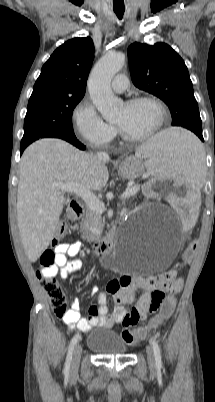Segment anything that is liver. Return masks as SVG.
Returning <instances> with one entry per match:
<instances>
[{"label": "liver", "instance_id": "6515ba94", "mask_svg": "<svg viewBox=\"0 0 215 402\" xmlns=\"http://www.w3.org/2000/svg\"><path fill=\"white\" fill-rule=\"evenodd\" d=\"M108 161L60 139H40L27 147L19 164L17 221L31 262L48 248L63 210L64 197L55 184L76 182L100 190L109 178Z\"/></svg>", "mask_w": 215, "mask_h": 402}]
</instances>
